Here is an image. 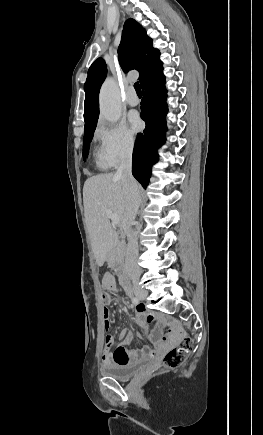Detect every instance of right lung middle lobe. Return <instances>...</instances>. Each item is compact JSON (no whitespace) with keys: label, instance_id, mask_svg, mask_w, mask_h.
<instances>
[{"label":"right lung middle lobe","instance_id":"obj_1","mask_svg":"<svg viewBox=\"0 0 263 435\" xmlns=\"http://www.w3.org/2000/svg\"><path fill=\"white\" fill-rule=\"evenodd\" d=\"M95 127L96 126H93L89 129H86L84 132V140H83V158H84V160H85L86 156L88 155L89 144L92 140L93 133L95 131Z\"/></svg>","mask_w":263,"mask_h":435}]
</instances>
